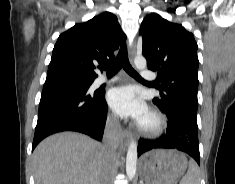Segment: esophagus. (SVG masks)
<instances>
[{"instance_id":"34e87169","label":"esophagus","mask_w":235,"mask_h":184,"mask_svg":"<svg viewBox=\"0 0 235 184\" xmlns=\"http://www.w3.org/2000/svg\"><path fill=\"white\" fill-rule=\"evenodd\" d=\"M134 57H135V46L131 47L129 50V61L132 66H134ZM132 139V134L126 129H122L120 136V151L125 152L128 148V145Z\"/></svg>"}]
</instances>
